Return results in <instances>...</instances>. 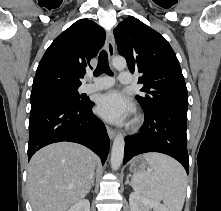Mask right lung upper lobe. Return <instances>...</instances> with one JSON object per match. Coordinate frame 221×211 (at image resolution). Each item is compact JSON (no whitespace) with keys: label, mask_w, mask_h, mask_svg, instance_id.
Wrapping results in <instances>:
<instances>
[{"label":"right lung upper lobe","mask_w":221,"mask_h":211,"mask_svg":"<svg viewBox=\"0 0 221 211\" xmlns=\"http://www.w3.org/2000/svg\"><path fill=\"white\" fill-rule=\"evenodd\" d=\"M105 31L88 19L78 20L61 33L43 55L32 91L78 88L81 78L105 41Z\"/></svg>","instance_id":"cb5924a9"}]
</instances>
